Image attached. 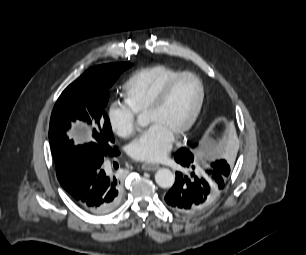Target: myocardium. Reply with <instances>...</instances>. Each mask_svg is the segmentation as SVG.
<instances>
[{
	"label": "myocardium",
	"instance_id": "obj_1",
	"mask_svg": "<svg viewBox=\"0 0 306 255\" xmlns=\"http://www.w3.org/2000/svg\"><path fill=\"white\" fill-rule=\"evenodd\" d=\"M193 77L199 84V88H200V95H199V99L198 102L196 104V107L191 115V117L188 119V121L175 133L176 137H180L182 135H184L186 132H188L196 123V121L198 120L203 105H204V101H205V87H204V83L202 81V79L194 72L191 71H182L180 73H178L177 75H175L174 77H172L165 85L164 87L158 92V94L155 96V98L153 99V101L150 103V105L148 106L146 113H151L154 112L156 110H158L166 101V99L168 98L169 94L171 93L173 87L175 86V84L181 80L184 77Z\"/></svg>",
	"mask_w": 306,
	"mask_h": 255
}]
</instances>
